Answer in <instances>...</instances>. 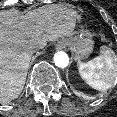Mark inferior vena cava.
<instances>
[{"instance_id":"1","label":"inferior vena cava","mask_w":117,"mask_h":117,"mask_svg":"<svg viewBox=\"0 0 117 117\" xmlns=\"http://www.w3.org/2000/svg\"><path fill=\"white\" fill-rule=\"evenodd\" d=\"M29 52H30V54H32V55H36V54H38L39 49H38V47H36V46H32V47H30Z\"/></svg>"}]
</instances>
